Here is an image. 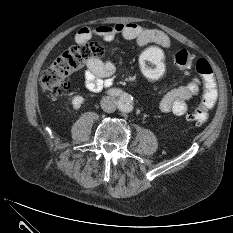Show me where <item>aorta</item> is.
<instances>
[{
    "label": "aorta",
    "mask_w": 233,
    "mask_h": 233,
    "mask_svg": "<svg viewBox=\"0 0 233 233\" xmlns=\"http://www.w3.org/2000/svg\"><path fill=\"white\" fill-rule=\"evenodd\" d=\"M119 109L122 112H131L133 110V97L129 94L121 95Z\"/></svg>",
    "instance_id": "762f6f07"
}]
</instances>
